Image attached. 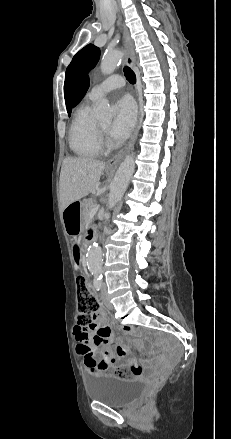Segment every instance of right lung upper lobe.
Segmentation results:
<instances>
[{
    "instance_id": "1",
    "label": "right lung upper lobe",
    "mask_w": 231,
    "mask_h": 439,
    "mask_svg": "<svg viewBox=\"0 0 231 439\" xmlns=\"http://www.w3.org/2000/svg\"><path fill=\"white\" fill-rule=\"evenodd\" d=\"M88 87H89V78L87 77L76 95L74 106L80 102V100L88 90Z\"/></svg>"
}]
</instances>
